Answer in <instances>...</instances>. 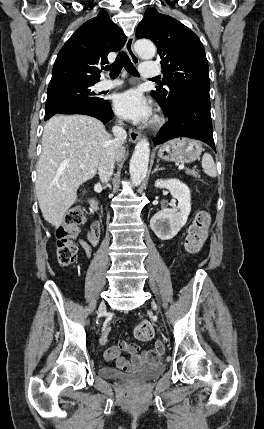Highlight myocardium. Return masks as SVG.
Masks as SVG:
<instances>
[{"label":"myocardium","mask_w":264,"mask_h":429,"mask_svg":"<svg viewBox=\"0 0 264 429\" xmlns=\"http://www.w3.org/2000/svg\"><path fill=\"white\" fill-rule=\"evenodd\" d=\"M161 124V119L160 118H157L155 121H154V125L155 126H159Z\"/></svg>","instance_id":"f54148a6"}]
</instances>
